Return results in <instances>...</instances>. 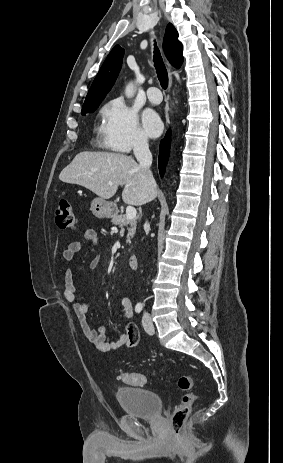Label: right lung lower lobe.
I'll list each match as a JSON object with an SVG mask.
<instances>
[{
    "instance_id": "98d812e1",
    "label": "right lung lower lobe",
    "mask_w": 283,
    "mask_h": 463,
    "mask_svg": "<svg viewBox=\"0 0 283 463\" xmlns=\"http://www.w3.org/2000/svg\"><path fill=\"white\" fill-rule=\"evenodd\" d=\"M170 151V132H167L166 136L160 143L159 149V158H158V168L160 175L162 176L165 171V166L169 157Z\"/></svg>"
}]
</instances>
